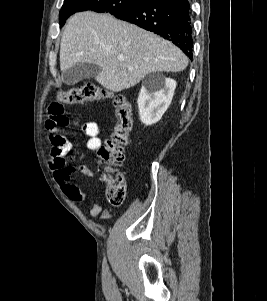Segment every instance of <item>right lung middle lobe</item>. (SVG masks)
<instances>
[{
    "label": "right lung middle lobe",
    "mask_w": 267,
    "mask_h": 301,
    "mask_svg": "<svg viewBox=\"0 0 267 301\" xmlns=\"http://www.w3.org/2000/svg\"><path fill=\"white\" fill-rule=\"evenodd\" d=\"M142 0H64L60 11V27L66 19L75 12L91 10L96 12H108L116 15L120 12L134 8Z\"/></svg>",
    "instance_id": "1"
}]
</instances>
